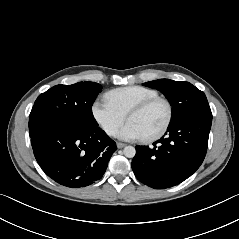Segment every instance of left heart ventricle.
I'll return each instance as SVG.
<instances>
[{
  "label": "left heart ventricle",
  "instance_id": "1",
  "mask_svg": "<svg viewBox=\"0 0 239 239\" xmlns=\"http://www.w3.org/2000/svg\"><path fill=\"white\" fill-rule=\"evenodd\" d=\"M166 116V105L162 102H157L147 110L131 116L128 121L133 123L143 136H147L154 133L162 126Z\"/></svg>",
  "mask_w": 239,
  "mask_h": 239
}]
</instances>
